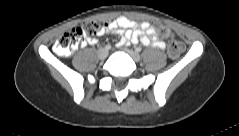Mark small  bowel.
<instances>
[{
	"label": "small bowel",
	"mask_w": 239,
	"mask_h": 136,
	"mask_svg": "<svg viewBox=\"0 0 239 136\" xmlns=\"http://www.w3.org/2000/svg\"><path fill=\"white\" fill-rule=\"evenodd\" d=\"M106 33H117L121 36L117 47L121 48L130 44L142 43L145 46H152L157 49H165V42L159 37L156 27L148 22H137L120 16L113 21L106 23L103 30L99 33L98 37L86 38L85 43L95 45L99 41V37Z\"/></svg>",
	"instance_id": "obj_1"
}]
</instances>
